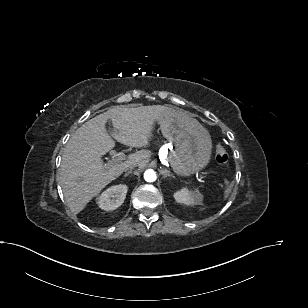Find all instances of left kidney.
Segmentation results:
<instances>
[{"instance_id":"5707ae66","label":"left kidney","mask_w":308,"mask_h":308,"mask_svg":"<svg viewBox=\"0 0 308 308\" xmlns=\"http://www.w3.org/2000/svg\"><path fill=\"white\" fill-rule=\"evenodd\" d=\"M174 198L176 202L183 203L186 205L199 204L202 199L199 192H191L186 188H183L180 191L174 193Z\"/></svg>"}]
</instances>
